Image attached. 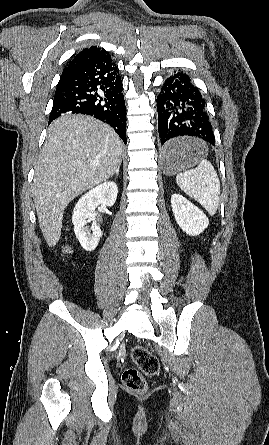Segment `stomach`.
Wrapping results in <instances>:
<instances>
[{
	"label": "stomach",
	"mask_w": 269,
	"mask_h": 445,
	"mask_svg": "<svg viewBox=\"0 0 269 445\" xmlns=\"http://www.w3.org/2000/svg\"><path fill=\"white\" fill-rule=\"evenodd\" d=\"M179 146V151L174 154L161 153V166L166 175L171 176L194 166L206 151L203 142L198 139H181Z\"/></svg>",
	"instance_id": "obj_1"
}]
</instances>
